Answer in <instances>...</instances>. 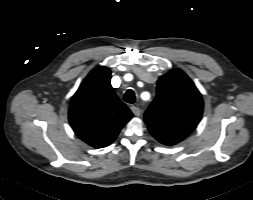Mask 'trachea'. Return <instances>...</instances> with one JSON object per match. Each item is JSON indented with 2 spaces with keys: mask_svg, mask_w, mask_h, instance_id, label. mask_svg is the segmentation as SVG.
<instances>
[{
  "mask_svg": "<svg viewBox=\"0 0 253 200\" xmlns=\"http://www.w3.org/2000/svg\"><path fill=\"white\" fill-rule=\"evenodd\" d=\"M124 101L127 103H134L135 102V93L133 90L129 89L126 91L125 95H124Z\"/></svg>",
  "mask_w": 253,
  "mask_h": 200,
  "instance_id": "3493384b",
  "label": "trachea"
}]
</instances>
